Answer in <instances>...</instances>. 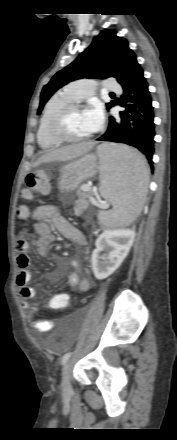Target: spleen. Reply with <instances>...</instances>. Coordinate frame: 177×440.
<instances>
[{"instance_id":"3e777b00","label":"spleen","mask_w":177,"mask_h":440,"mask_svg":"<svg viewBox=\"0 0 177 440\" xmlns=\"http://www.w3.org/2000/svg\"><path fill=\"white\" fill-rule=\"evenodd\" d=\"M97 153L101 161L100 194L113 205L100 212V223L128 225L141 213L149 179L145 158L125 145L102 144Z\"/></svg>"}]
</instances>
